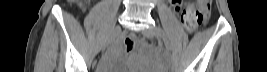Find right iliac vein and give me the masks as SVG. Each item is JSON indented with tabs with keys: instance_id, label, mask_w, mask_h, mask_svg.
<instances>
[{
	"instance_id": "right-iliac-vein-1",
	"label": "right iliac vein",
	"mask_w": 267,
	"mask_h": 72,
	"mask_svg": "<svg viewBox=\"0 0 267 72\" xmlns=\"http://www.w3.org/2000/svg\"><path fill=\"white\" fill-rule=\"evenodd\" d=\"M121 34V27L120 26H116L115 29L113 30L110 38L104 42L102 49H105L106 47H108L109 45L113 44V42L115 41V39Z\"/></svg>"
}]
</instances>
